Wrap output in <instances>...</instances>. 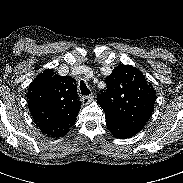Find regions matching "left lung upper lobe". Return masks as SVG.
I'll use <instances>...</instances> for the list:
<instances>
[{"mask_svg":"<svg viewBox=\"0 0 183 183\" xmlns=\"http://www.w3.org/2000/svg\"><path fill=\"white\" fill-rule=\"evenodd\" d=\"M106 84V91L97 96L105 118L143 128L152 114L156 91L142 72L119 65L106 77Z\"/></svg>","mask_w":183,"mask_h":183,"instance_id":"left-lung-upper-lobe-1","label":"left lung upper lobe"}]
</instances>
